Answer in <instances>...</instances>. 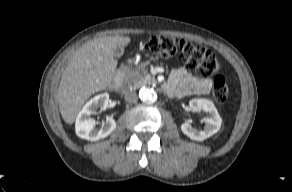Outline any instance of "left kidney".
<instances>
[{"label":"left kidney","mask_w":292,"mask_h":192,"mask_svg":"<svg viewBox=\"0 0 292 192\" xmlns=\"http://www.w3.org/2000/svg\"><path fill=\"white\" fill-rule=\"evenodd\" d=\"M189 106L193 111L203 110L209 113L210 116L204 118L205 128L201 131L193 128L189 123H183L181 130L186 136L195 141H203L220 130L222 119L212 101L199 98L192 99L189 102Z\"/></svg>","instance_id":"5707ae66"}]
</instances>
